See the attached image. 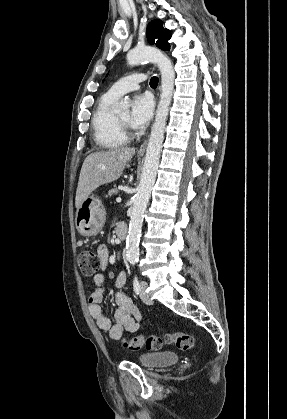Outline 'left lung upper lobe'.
<instances>
[{
  "mask_svg": "<svg viewBox=\"0 0 287 419\" xmlns=\"http://www.w3.org/2000/svg\"><path fill=\"white\" fill-rule=\"evenodd\" d=\"M147 38L150 44H154L162 50H170L168 40L171 38V33L168 29H164L161 20L156 19L149 23L147 27Z\"/></svg>",
  "mask_w": 287,
  "mask_h": 419,
  "instance_id": "obj_1",
  "label": "left lung upper lobe"
}]
</instances>
